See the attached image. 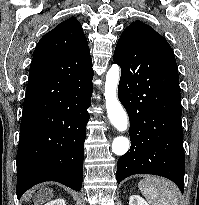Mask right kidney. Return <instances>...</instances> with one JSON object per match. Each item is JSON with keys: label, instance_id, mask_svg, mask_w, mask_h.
<instances>
[{"label": "right kidney", "instance_id": "right-kidney-1", "mask_svg": "<svg viewBox=\"0 0 199 205\" xmlns=\"http://www.w3.org/2000/svg\"><path fill=\"white\" fill-rule=\"evenodd\" d=\"M45 205H66V202L64 199L58 198L46 203Z\"/></svg>", "mask_w": 199, "mask_h": 205}]
</instances>
